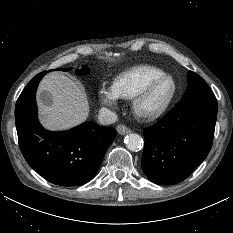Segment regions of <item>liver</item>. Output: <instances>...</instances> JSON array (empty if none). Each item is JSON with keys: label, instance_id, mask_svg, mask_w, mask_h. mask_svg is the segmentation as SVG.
<instances>
[{"label": "liver", "instance_id": "liver-1", "mask_svg": "<svg viewBox=\"0 0 233 233\" xmlns=\"http://www.w3.org/2000/svg\"><path fill=\"white\" fill-rule=\"evenodd\" d=\"M44 91L50 93L51 105H45L40 99ZM37 96L40 120L47 129H68L81 124L89 115L84 89L64 74L46 76L39 85Z\"/></svg>", "mask_w": 233, "mask_h": 233}]
</instances>
